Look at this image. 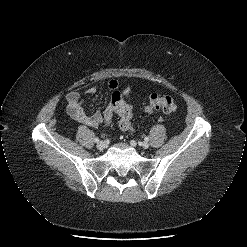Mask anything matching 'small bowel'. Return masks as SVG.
Returning <instances> with one entry per match:
<instances>
[{
  "instance_id": "obj_1",
  "label": "small bowel",
  "mask_w": 247,
  "mask_h": 247,
  "mask_svg": "<svg viewBox=\"0 0 247 247\" xmlns=\"http://www.w3.org/2000/svg\"><path fill=\"white\" fill-rule=\"evenodd\" d=\"M107 87L111 91H118L120 81L116 78H112L107 81ZM99 89V86L91 87L86 91V94H94ZM67 111L72 119L80 124L98 127L104 120V114L96 111L92 114H87L82 107L81 93L71 92L67 96Z\"/></svg>"
}]
</instances>
